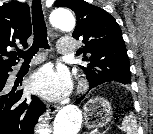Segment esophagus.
Returning <instances> with one entry per match:
<instances>
[{
  "label": "esophagus",
  "instance_id": "obj_1",
  "mask_svg": "<svg viewBox=\"0 0 153 134\" xmlns=\"http://www.w3.org/2000/svg\"><path fill=\"white\" fill-rule=\"evenodd\" d=\"M42 2H44V0H42ZM49 34H50V37H53L54 36V33H53L52 30L49 31ZM58 110H59V106L47 104V112L49 114H54Z\"/></svg>",
  "mask_w": 153,
  "mask_h": 134
}]
</instances>
